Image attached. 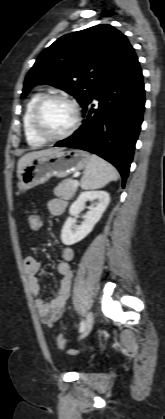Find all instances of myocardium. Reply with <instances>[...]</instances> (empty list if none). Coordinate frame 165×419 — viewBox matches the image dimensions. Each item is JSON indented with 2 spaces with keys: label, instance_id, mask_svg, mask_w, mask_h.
<instances>
[{
  "label": "myocardium",
  "instance_id": "myocardium-1",
  "mask_svg": "<svg viewBox=\"0 0 165 419\" xmlns=\"http://www.w3.org/2000/svg\"><path fill=\"white\" fill-rule=\"evenodd\" d=\"M52 100H57V101H62V102L67 103L72 108L73 113H74V120L71 126L65 132L59 135H49L47 132H45L42 127L41 120H40V113L43 106L47 102L52 101ZM31 122H32L33 131L35 132V134L39 138L44 140L45 142L60 141V140L68 138L77 130L81 122V112H80L79 106L73 99L62 94H46V95L41 96L40 99L35 103L32 110Z\"/></svg>",
  "mask_w": 165,
  "mask_h": 419
}]
</instances>
